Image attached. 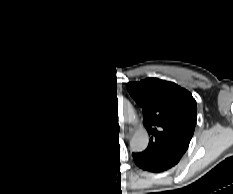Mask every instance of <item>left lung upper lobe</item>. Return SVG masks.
<instances>
[{
    "instance_id": "obj_1",
    "label": "left lung upper lobe",
    "mask_w": 233,
    "mask_h": 194,
    "mask_svg": "<svg viewBox=\"0 0 233 194\" xmlns=\"http://www.w3.org/2000/svg\"><path fill=\"white\" fill-rule=\"evenodd\" d=\"M127 90L142 107L144 125L151 136L144 153L180 159L196 125L197 106L191 93L157 78L129 83Z\"/></svg>"
}]
</instances>
